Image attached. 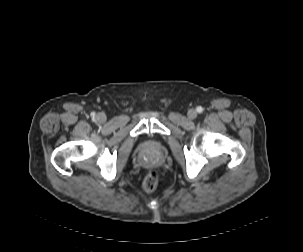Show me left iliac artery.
<instances>
[{
    "instance_id": "left-iliac-artery-1",
    "label": "left iliac artery",
    "mask_w": 303,
    "mask_h": 252,
    "mask_svg": "<svg viewBox=\"0 0 303 252\" xmlns=\"http://www.w3.org/2000/svg\"><path fill=\"white\" fill-rule=\"evenodd\" d=\"M197 112H202V108H201V107H198V108H197Z\"/></svg>"
}]
</instances>
